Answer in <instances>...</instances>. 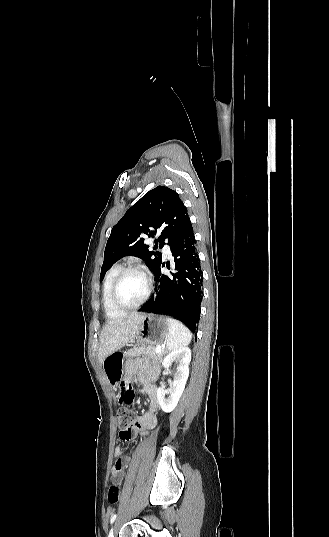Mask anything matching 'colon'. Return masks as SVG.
Listing matches in <instances>:
<instances>
[{
	"instance_id": "5ec220e1",
	"label": "colon",
	"mask_w": 329,
	"mask_h": 537,
	"mask_svg": "<svg viewBox=\"0 0 329 537\" xmlns=\"http://www.w3.org/2000/svg\"><path fill=\"white\" fill-rule=\"evenodd\" d=\"M121 397V396H120ZM134 400V399H133ZM135 413L127 408H122L118 416V428L119 432L121 430H126L128 433L136 422ZM121 489L117 484H112L108 490V500L110 503H117L120 499Z\"/></svg>"
}]
</instances>
